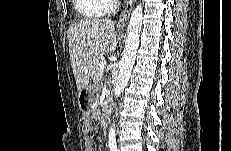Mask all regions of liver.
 Returning a JSON list of instances; mask_svg holds the SVG:
<instances>
[{
    "mask_svg": "<svg viewBox=\"0 0 231 151\" xmlns=\"http://www.w3.org/2000/svg\"><path fill=\"white\" fill-rule=\"evenodd\" d=\"M119 35L110 19L81 20L68 29L71 66L80 91L93 73L95 64L106 52H114Z\"/></svg>",
    "mask_w": 231,
    "mask_h": 151,
    "instance_id": "1",
    "label": "liver"
}]
</instances>
